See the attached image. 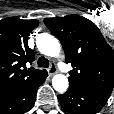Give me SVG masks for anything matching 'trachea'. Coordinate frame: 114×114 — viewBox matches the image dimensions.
<instances>
[{"label":"trachea","instance_id":"trachea-1","mask_svg":"<svg viewBox=\"0 0 114 114\" xmlns=\"http://www.w3.org/2000/svg\"><path fill=\"white\" fill-rule=\"evenodd\" d=\"M38 67H45L48 68L49 67V61L48 59H46L45 57H39L38 61H37Z\"/></svg>","mask_w":114,"mask_h":114}]
</instances>
